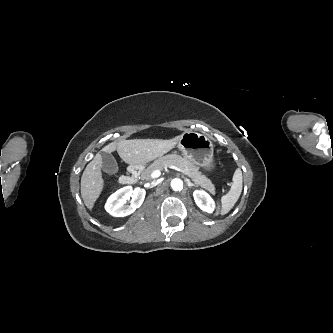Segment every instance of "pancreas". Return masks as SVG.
<instances>
[{
  "instance_id": "obj_1",
  "label": "pancreas",
  "mask_w": 333,
  "mask_h": 333,
  "mask_svg": "<svg viewBox=\"0 0 333 333\" xmlns=\"http://www.w3.org/2000/svg\"><path fill=\"white\" fill-rule=\"evenodd\" d=\"M174 165L184 171V174L190 177L194 183L202 188H205L211 193H215V186L212 181L203 175L198 167L188 158L181 157L177 154H168L166 156L159 157L151 165H149L142 173L141 179L150 181L151 173L155 170H163L166 166Z\"/></svg>"
}]
</instances>
